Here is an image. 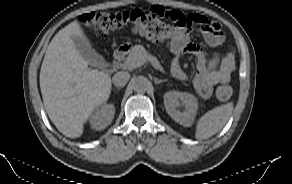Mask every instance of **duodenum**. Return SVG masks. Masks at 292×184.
Wrapping results in <instances>:
<instances>
[{
	"label": "duodenum",
	"instance_id": "duodenum-1",
	"mask_svg": "<svg viewBox=\"0 0 292 184\" xmlns=\"http://www.w3.org/2000/svg\"><path fill=\"white\" fill-rule=\"evenodd\" d=\"M127 52H128L127 47H120L117 50H115V52L113 53V57L117 61H122L126 57Z\"/></svg>",
	"mask_w": 292,
	"mask_h": 184
}]
</instances>
